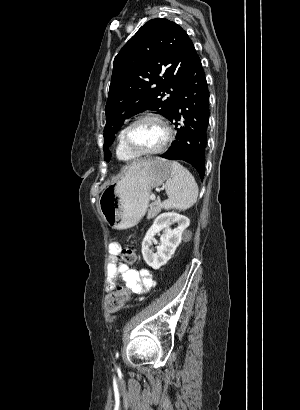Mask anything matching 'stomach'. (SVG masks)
<instances>
[{"instance_id":"stomach-1","label":"stomach","mask_w":300,"mask_h":410,"mask_svg":"<svg viewBox=\"0 0 300 410\" xmlns=\"http://www.w3.org/2000/svg\"><path fill=\"white\" fill-rule=\"evenodd\" d=\"M171 172V162L161 158L128 168L99 198L100 212L109 226L118 230L135 226L148 208L151 190L162 185Z\"/></svg>"}]
</instances>
